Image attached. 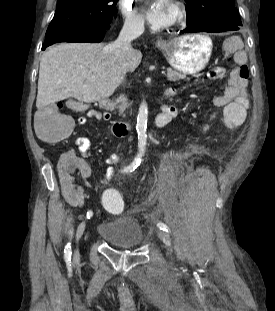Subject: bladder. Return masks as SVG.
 Listing matches in <instances>:
<instances>
[{"instance_id":"obj_1","label":"bladder","mask_w":275,"mask_h":311,"mask_svg":"<svg viewBox=\"0 0 275 311\" xmlns=\"http://www.w3.org/2000/svg\"><path fill=\"white\" fill-rule=\"evenodd\" d=\"M97 235L112 247L119 249L139 247L144 237L142 227L129 214L101 222L97 227Z\"/></svg>"}]
</instances>
